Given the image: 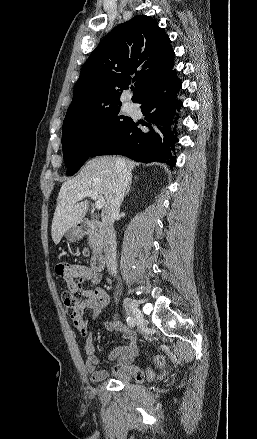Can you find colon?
<instances>
[{
	"instance_id": "5ec220e1",
	"label": "colon",
	"mask_w": 257,
	"mask_h": 439,
	"mask_svg": "<svg viewBox=\"0 0 257 439\" xmlns=\"http://www.w3.org/2000/svg\"><path fill=\"white\" fill-rule=\"evenodd\" d=\"M82 297L83 295L80 291L66 290L62 293L63 304L70 315L74 314L78 310V307L82 302ZM155 363L156 365H161V358L156 357ZM116 374L119 378L134 380L137 382H144L153 377L152 371L141 370L133 365H128L122 368Z\"/></svg>"
}]
</instances>
